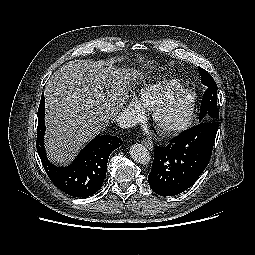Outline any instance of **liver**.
<instances>
[{
  "label": "liver",
  "mask_w": 255,
  "mask_h": 255,
  "mask_svg": "<svg viewBox=\"0 0 255 255\" xmlns=\"http://www.w3.org/2000/svg\"><path fill=\"white\" fill-rule=\"evenodd\" d=\"M112 61L72 60L45 88L46 146L50 159L66 164L114 119L127 99L129 76Z\"/></svg>",
  "instance_id": "obj_1"
}]
</instances>
